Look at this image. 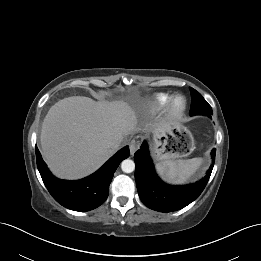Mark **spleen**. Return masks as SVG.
Here are the masks:
<instances>
[{
    "label": "spleen",
    "mask_w": 261,
    "mask_h": 261,
    "mask_svg": "<svg viewBox=\"0 0 261 261\" xmlns=\"http://www.w3.org/2000/svg\"><path fill=\"white\" fill-rule=\"evenodd\" d=\"M201 163V158L166 160L158 163L156 169L165 180L172 183H183L195 173Z\"/></svg>",
    "instance_id": "obj_1"
}]
</instances>
